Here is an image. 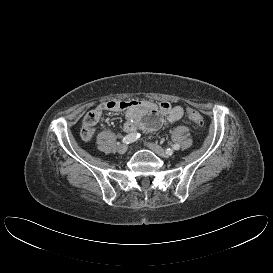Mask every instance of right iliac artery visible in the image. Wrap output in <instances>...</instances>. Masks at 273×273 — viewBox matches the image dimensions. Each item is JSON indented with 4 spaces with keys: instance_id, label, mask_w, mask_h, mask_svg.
I'll return each mask as SVG.
<instances>
[{
    "instance_id": "obj_1",
    "label": "right iliac artery",
    "mask_w": 273,
    "mask_h": 273,
    "mask_svg": "<svg viewBox=\"0 0 273 273\" xmlns=\"http://www.w3.org/2000/svg\"><path fill=\"white\" fill-rule=\"evenodd\" d=\"M139 137H140L139 133H137V132L136 133H131V134L126 135L122 139V142L125 143V144H130L132 142H135Z\"/></svg>"
}]
</instances>
